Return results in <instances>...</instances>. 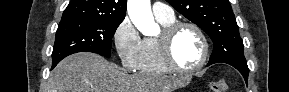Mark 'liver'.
<instances>
[{
	"label": "liver",
	"mask_w": 289,
	"mask_h": 92,
	"mask_svg": "<svg viewBox=\"0 0 289 92\" xmlns=\"http://www.w3.org/2000/svg\"><path fill=\"white\" fill-rule=\"evenodd\" d=\"M186 79L129 75L98 54L81 52L63 59L51 72L45 92H173Z\"/></svg>",
	"instance_id": "liver-1"
}]
</instances>
